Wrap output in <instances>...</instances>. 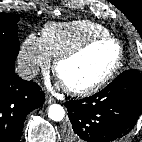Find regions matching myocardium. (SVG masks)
<instances>
[{
  "label": "myocardium",
  "mask_w": 142,
  "mask_h": 142,
  "mask_svg": "<svg viewBox=\"0 0 142 142\" xmlns=\"http://www.w3.org/2000/svg\"><path fill=\"white\" fill-rule=\"evenodd\" d=\"M103 42H111L115 44V46L118 49L117 58L113 66L100 79H98L97 81H95L94 83L88 86H85L82 88H74V87L65 85V89L70 94L75 96H89L98 92L101 88H103L115 76V74L118 72V70L120 69L122 65V61L124 57L123 47L116 38L112 37L111 35H103V36L91 38L56 58L54 62L53 70L55 75L58 78H60V67L63 63L82 55L93 46Z\"/></svg>",
  "instance_id": "myocardium-1"
}]
</instances>
